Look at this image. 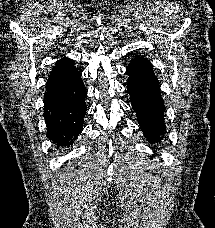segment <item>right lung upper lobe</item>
I'll use <instances>...</instances> for the list:
<instances>
[{"instance_id":"right-lung-upper-lobe-1","label":"right lung upper lobe","mask_w":215,"mask_h":228,"mask_svg":"<svg viewBox=\"0 0 215 228\" xmlns=\"http://www.w3.org/2000/svg\"><path fill=\"white\" fill-rule=\"evenodd\" d=\"M79 75H80V72L74 66V62L71 59L62 58L53 67V69L50 73L49 79L74 78ZM58 88H59V85H55L54 83L50 84L46 89L44 98H47L48 96L55 93L58 90Z\"/></svg>"}]
</instances>
